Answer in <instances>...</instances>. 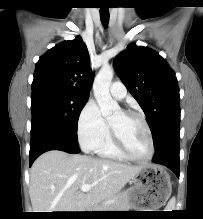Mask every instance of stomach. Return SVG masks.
I'll use <instances>...</instances> for the list:
<instances>
[{
	"mask_svg": "<svg viewBox=\"0 0 203 219\" xmlns=\"http://www.w3.org/2000/svg\"><path fill=\"white\" fill-rule=\"evenodd\" d=\"M132 184L127 196L131 208L158 209L171 195L170 176L159 165L142 166L132 178Z\"/></svg>",
	"mask_w": 203,
	"mask_h": 219,
	"instance_id": "obj_1",
	"label": "stomach"
}]
</instances>
